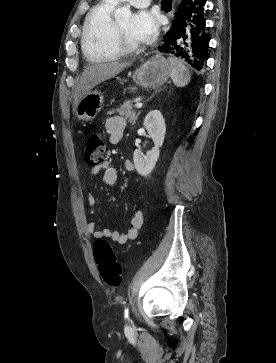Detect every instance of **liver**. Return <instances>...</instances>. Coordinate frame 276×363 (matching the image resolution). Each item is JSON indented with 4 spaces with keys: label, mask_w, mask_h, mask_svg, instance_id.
Listing matches in <instances>:
<instances>
[{
    "label": "liver",
    "mask_w": 276,
    "mask_h": 363,
    "mask_svg": "<svg viewBox=\"0 0 276 363\" xmlns=\"http://www.w3.org/2000/svg\"><path fill=\"white\" fill-rule=\"evenodd\" d=\"M130 65V62L98 63L86 67L80 77L74 95L73 111L79 100L98 84L111 79Z\"/></svg>",
    "instance_id": "obj_1"
}]
</instances>
